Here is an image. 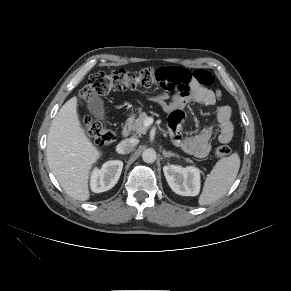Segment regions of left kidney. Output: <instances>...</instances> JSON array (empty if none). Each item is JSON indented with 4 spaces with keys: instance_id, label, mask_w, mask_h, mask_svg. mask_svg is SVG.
<instances>
[{
    "instance_id": "left-kidney-1",
    "label": "left kidney",
    "mask_w": 291,
    "mask_h": 291,
    "mask_svg": "<svg viewBox=\"0 0 291 291\" xmlns=\"http://www.w3.org/2000/svg\"><path fill=\"white\" fill-rule=\"evenodd\" d=\"M170 188L178 195L197 196L200 191V170L193 166L168 165L163 167Z\"/></svg>"
}]
</instances>
